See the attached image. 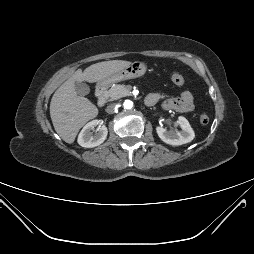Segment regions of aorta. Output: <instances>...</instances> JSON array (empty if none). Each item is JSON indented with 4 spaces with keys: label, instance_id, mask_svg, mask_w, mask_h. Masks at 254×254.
Masks as SVG:
<instances>
[{
    "label": "aorta",
    "instance_id": "1",
    "mask_svg": "<svg viewBox=\"0 0 254 254\" xmlns=\"http://www.w3.org/2000/svg\"><path fill=\"white\" fill-rule=\"evenodd\" d=\"M123 107L125 109H131L133 107V102L130 101V100H126L124 103H123Z\"/></svg>",
    "mask_w": 254,
    "mask_h": 254
}]
</instances>
